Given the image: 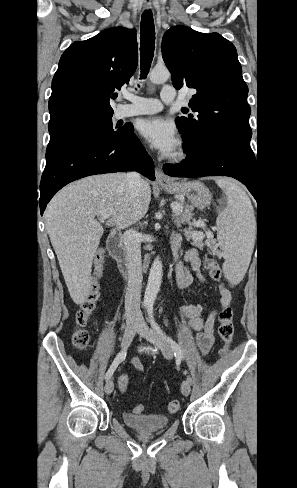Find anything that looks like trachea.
Wrapping results in <instances>:
<instances>
[{"label":"trachea","instance_id":"3493384b","mask_svg":"<svg viewBox=\"0 0 297 488\" xmlns=\"http://www.w3.org/2000/svg\"><path fill=\"white\" fill-rule=\"evenodd\" d=\"M155 49V27L153 15L150 10L144 11L141 19L140 27V58H141V78L145 79L152 59L154 57Z\"/></svg>","mask_w":297,"mask_h":488}]
</instances>
